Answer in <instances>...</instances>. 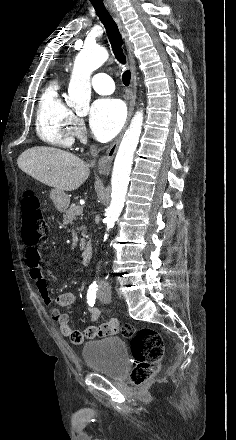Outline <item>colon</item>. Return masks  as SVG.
<instances>
[{
  "instance_id": "1",
  "label": "colon",
  "mask_w": 236,
  "mask_h": 440,
  "mask_svg": "<svg viewBox=\"0 0 236 440\" xmlns=\"http://www.w3.org/2000/svg\"><path fill=\"white\" fill-rule=\"evenodd\" d=\"M22 238L28 245H35L48 233V224L41 210L39 198L32 192H26L21 204ZM118 329L115 331V333ZM122 334L131 338V351L136 366L131 380L139 385L152 378L159 370L163 356V341L159 333L151 328L136 329L125 325Z\"/></svg>"
}]
</instances>
